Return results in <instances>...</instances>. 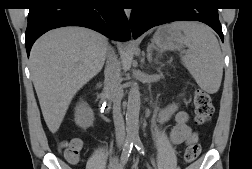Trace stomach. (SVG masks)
Masks as SVG:
<instances>
[{
  "instance_id": "obj_1",
  "label": "stomach",
  "mask_w": 252,
  "mask_h": 169,
  "mask_svg": "<svg viewBox=\"0 0 252 169\" xmlns=\"http://www.w3.org/2000/svg\"><path fill=\"white\" fill-rule=\"evenodd\" d=\"M153 40L162 50H176L182 48L185 36L180 29L170 24L160 27L155 32Z\"/></svg>"
}]
</instances>
